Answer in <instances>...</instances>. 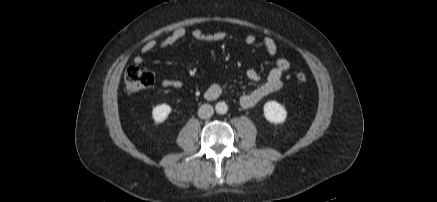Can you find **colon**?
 <instances>
[{
    "instance_id": "colon-1",
    "label": "colon",
    "mask_w": 437,
    "mask_h": 202,
    "mask_svg": "<svg viewBox=\"0 0 437 202\" xmlns=\"http://www.w3.org/2000/svg\"><path fill=\"white\" fill-rule=\"evenodd\" d=\"M295 78L299 83L307 81V76L302 72L297 73ZM124 81L127 93L135 95L149 89L154 84V75L149 70L142 69L136 65H130L125 70Z\"/></svg>"
}]
</instances>
